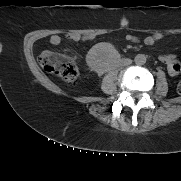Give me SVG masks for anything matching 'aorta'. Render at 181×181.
Segmentation results:
<instances>
[{
	"label": "aorta",
	"mask_w": 181,
	"mask_h": 181,
	"mask_svg": "<svg viewBox=\"0 0 181 181\" xmlns=\"http://www.w3.org/2000/svg\"><path fill=\"white\" fill-rule=\"evenodd\" d=\"M146 56L144 54H137L134 61L137 65H144L146 63Z\"/></svg>",
	"instance_id": "1"
}]
</instances>
